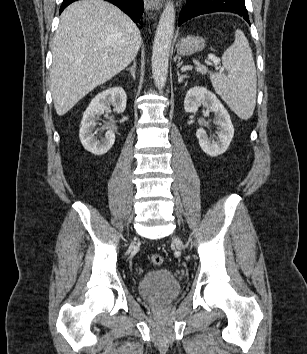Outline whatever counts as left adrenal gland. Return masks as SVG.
I'll list each match as a JSON object with an SVG mask.
<instances>
[{
	"instance_id": "a2214340",
	"label": "left adrenal gland",
	"mask_w": 307,
	"mask_h": 354,
	"mask_svg": "<svg viewBox=\"0 0 307 354\" xmlns=\"http://www.w3.org/2000/svg\"><path fill=\"white\" fill-rule=\"evenodd\" d=\"M178 75V83H182L184 79L188 78L186 75H180L179 71H177Z\"/></svg>"
}]
</instances>
